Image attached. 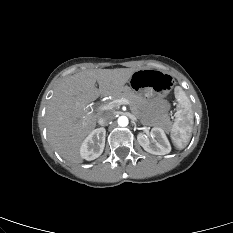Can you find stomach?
<instances>
[{
    "mask_svg": "<svg viewBox=\"0 0 233 233\" xmlns=\"http://www.w3.org/2000/svg\"><path fill=\"white\" fill-rule=\"evenodd\" d=\"M131 90L149 100L158 94L168 93L172 77L158 69L137 70L130 78Z\"/></svg>",
    "mask_w": 233,
    "mask_h": 233,
    "instance_id": "obj_1",
    "label": "stomach"
}]
</instances>
